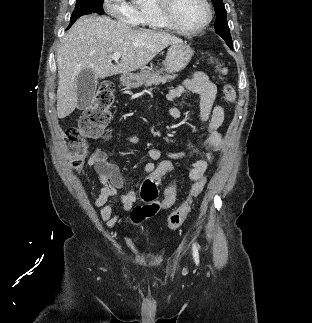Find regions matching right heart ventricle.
Segmentation results:
<instances>
[{
	"label": "right heart ventricle",
	"mask_w": 312,
	"mask_h": 323,
	"mask_svg": "<svg viewBox=\"0 0 312 323\" xmlns=\"http://www.w3.org/2000/svg\"><path fill=\"white\" fill-rule=\"evenodd\" d=\"M161 14L162 11L156 9L155 5H141L140 9H134L137 25H150L152 29H168L166 18H159Z\"/></svg>",
	"instance_id": "1"
}]
</instances>
